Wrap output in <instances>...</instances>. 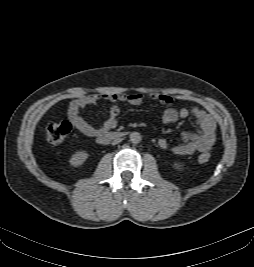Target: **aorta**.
I'll list each match as a JSON object with an SVG mask.
<instances>
[{
    "label": "aorta",
    "mask_w": 254,
    "mask_h": 267,
    "mask_svg": "<svg viewBox=\"0 0 254 267\" xmlns=\"http://www.w3.org/2000/svg\"><path fill=\"white\" fill-rule=\"evenodd\" d=\"M141 140H142V137H141V135H140L139 132H132L130 134V141H131V143L138 144V143L141 142Z\"/></svg>",
    "instance_id": "obj_1"
}]
</instances>
